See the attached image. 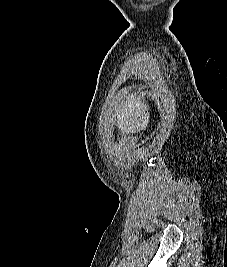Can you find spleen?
<instances>
[{
	"label": "spleen",
	"mask_w": 227,
	"mask_h": 267,
	"mask_svg": "<svg viewBox=\"0 0 227 267\" xmlns=\"http://www.w3.org/2000/svg\"><path fill=\"white\" fill-rule=\"evenodd\" d=\"M133 99L131 102L133 103ZM133 115H140V110H133ZM152 116H139L138 120H133V124H120L118 134H122V137H129V140H136L138 134H142V129H148V121H152Z\"/></svg>",
	"instance_id": "spleen-1"
}]
</instances>
